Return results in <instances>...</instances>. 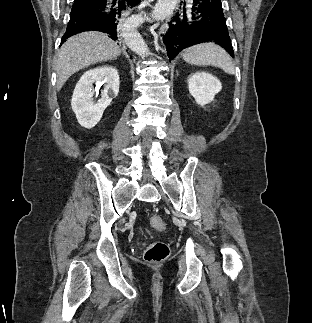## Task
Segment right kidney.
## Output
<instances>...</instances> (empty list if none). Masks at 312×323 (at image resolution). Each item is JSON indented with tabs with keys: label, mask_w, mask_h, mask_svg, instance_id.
Instances as JSON below:
<instances>
[{
	"label": "right kidney",
	"mask_w": 312,
	"mask_h": 323,
	"mask_svg": "<svg viewBox=\"0 0 312 323\" xmlns=\"http://www.w3.org/2000/svg\"><path fill=\"white\" fill-rule=\"evenodd\" d=\"M105 84L101 98L94 102V86ZM119 74L114 66H97L81 76L72 96V110L83 128H94L101 120L104 110L111 104L119 92ZM97 96V94H96Z\"/></svg>",
	"instance_id": "ca27d5eb"
}]
</instances>
